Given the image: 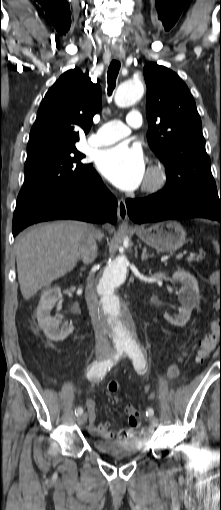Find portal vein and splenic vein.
Wrapping results in <instances>:
<instances>
[{
	"mask_svg": "<svg viewBox=\"0 0 221 510\" xmlns=\"http://www.w3.org/2000/svg\"><path fill=\"white\" fill-rule=\"evenodd\" d=\"M181 256H182V255L180 254V255H178L176 258H177V259H179ZM194 258H195V256H194V255H190V256H188V257H187V261H192V260H194Z\"/></svg>",
	"mask_w": 221,
	"mask_h": 510,
	"instance_id": "18ae733b",
	"label": "portal vein and splenic vein"
}]
</instances>
